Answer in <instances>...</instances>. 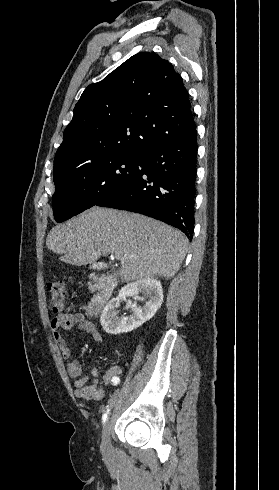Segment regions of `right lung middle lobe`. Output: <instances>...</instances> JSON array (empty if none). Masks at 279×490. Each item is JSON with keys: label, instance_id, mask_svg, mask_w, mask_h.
<instances>
[{"label": "right lung middle lobe", "instance_id": "dd1d6c3e", "mask_svg": "<svg viewBox=\"0 0 279 490\" xmlns=\"http://www.w3.org/2000/svg\"><path fill=\"white\" fill-rule=\"evenodd\" d=\"M143 158L106 154L54 177L53 212L63 222L96 205L143 172Z\"/></svg>", "mask_w": 279, "mask_h": 490}]
</instances>
